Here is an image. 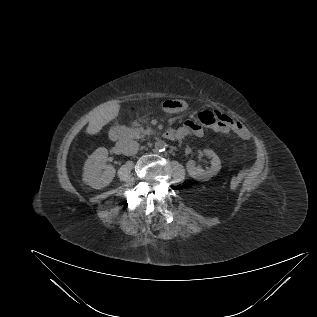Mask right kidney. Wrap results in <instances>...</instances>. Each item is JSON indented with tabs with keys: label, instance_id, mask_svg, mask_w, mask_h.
<instances>
[{
	"label": "right kidney",
	"instance_id": "obj_1",
	"mask_svg": "<svg viewBox=\"0 0 317 317\" xmlns=\"http://www.w3.org/2000/svg\"><path fill=\"white\" fill-rule=\"evenodd\" d=\"M107 157L108 150L100 147L85 162L83 181L94 189L108 186L115 176L114 167L105 163Z\"/></svg>",
	"mask_w": 317,
	"mask_h": 317
}]
</instances>
